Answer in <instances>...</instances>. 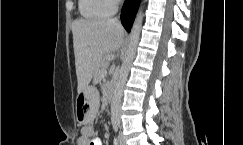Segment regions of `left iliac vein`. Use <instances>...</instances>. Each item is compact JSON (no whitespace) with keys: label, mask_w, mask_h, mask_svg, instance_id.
I'll list each match as a JSON object with an SVG mask.
<instances>
[{"label":"left iliac vein","mask_w":243,"mask_h":145,"mask_svg":"<svg viewBox=\"0 0 243 145\" xmlns=\"http://www.w3.org/2000/svg\"><path fill=\"white\" fill-rule=\"evenodd\" d=\"M119 143H120V145H127V143H126L124 137H123L121 134H120V136H119Z\"/></svg>","instance_id":"obj_1"}]
</instances>
